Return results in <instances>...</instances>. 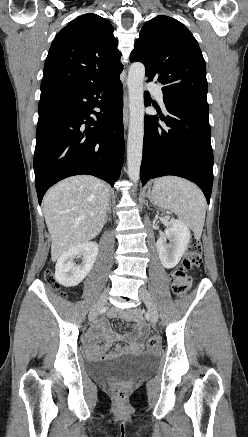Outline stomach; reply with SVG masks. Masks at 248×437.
I'll use <instances>...</instances> for the list:
<instances>
[{
	"label": "stomach",
	"mask_w": 248,
	"mask_h": 437,
	"mask_svg": "<svg viewBox=\"0 0 248 437\" xmlns=\"http://www.w3.org/2000/svg\"><path fill=\"white\" fill-rule=\"evenodd\" d=\"M150 191V190H149ZM154 187L152 188V191H151V197H152V199H153V194H154Z\"/></svg>",
	"instance_id": "0dacf381"
}]
</instances>
